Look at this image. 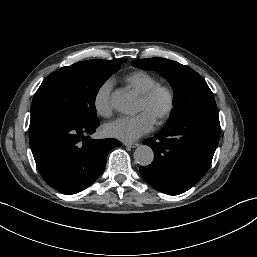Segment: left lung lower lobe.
Wrapping results in <instances>:
<instances>
[{
	"mask_svg": "<svg viewBox=\"0 0 257 257\" xmlns=\"http://www.w3.org/2000/svg\"><path fill=\"white\" fill-rule=\"evenodd\" d=\"M220 137L217 107L200 110L165 125L143 144L154 151V160L140 167L143 178L155 189L170 195L193 187L211 165Z\"/></svg>",
	"mask_w": 257,
	"mask_h": 257,
	"instance_id": "obj_1",
	"label": "left lung lower lobe"
}]
</instances>
